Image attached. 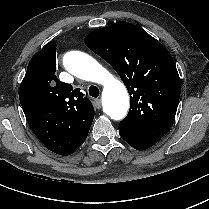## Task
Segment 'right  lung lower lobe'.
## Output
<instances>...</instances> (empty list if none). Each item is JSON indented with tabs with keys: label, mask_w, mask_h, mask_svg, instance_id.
Here are the masks:
<instances>
[{
	"label": "right lung lower lobe",
	"mask_w": 209,
	"mask_h": 209,
	"mask_svg": "<svg viewBox=\"0 0 209 209\" xmlns=\"http://www.w3.org/2000/svg\"><path fill=\"white\" fill-rule=\"evenodd\" d=\"M24 113L31 130L48 150L59 155H70L80 147H69L66 144H62L60 140L55 137L54 133H56L57 128L46 125L49 118L47 108H35L27 112L24 111Z\"/></svg>",
	"instance_id": "1"
}]
</instances>
